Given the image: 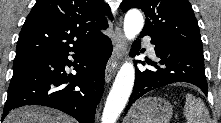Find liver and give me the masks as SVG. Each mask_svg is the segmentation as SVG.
<instances>
[{"label":"liver","instance_id":"1","mask_svg":"<svg viewBox=\"0 0 221 123\" xmlns=\"http://www.w3.org/2000/svg\"><path fill=\"white\" fill-rule=\"evenodd\" d=\"M3 123H75L62 112L39 106H24L11 111Z\"/></svg>","mask_w":221,"mask_h":123}]
</instances>
